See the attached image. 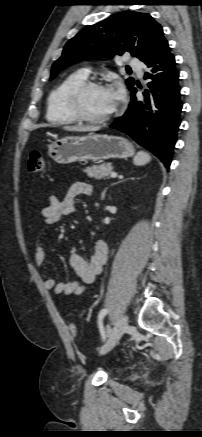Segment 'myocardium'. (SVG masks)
<instances>
[{"instance_id": "f54148a6", "label": "myocardium", "mask_w": 202, "mask_h": 437, "mask_svg": "<svg viewBox=\"0 0 202 437\" xmlns=\"http://www.w3.org/2000/svg\"><path fill=\"white\" fill-rule=\"evenodd\" d=\"M94 88H106V86L96 80L86 79L74 86L66 97V107L69 113L80 122L89 124H103L112 120L119 112L121 104L117 103L113 111L104 117H92L85 113L82 106L84 95Z\"/></svg>"}]
</instances>
